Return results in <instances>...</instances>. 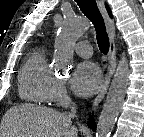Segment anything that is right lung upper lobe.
<instances>
[{
  "instance_id": "1",
  "label": "right lung upper lobe",
  "mask_w": 144,
  "mask_h": 137,
  "mask_svg": "<svg viewBox=\"0 0 144 137\" xmlns=\"http://www.w3.org/2000/svg\"><path fill=\"white\" fill-rule=\"evenodd\" d=\"M106 9H107V11H108V13H109V15L111 17L112 15H111L110 9H109V7L107 5H106Z\"/></svg>"
}]
</instances>
